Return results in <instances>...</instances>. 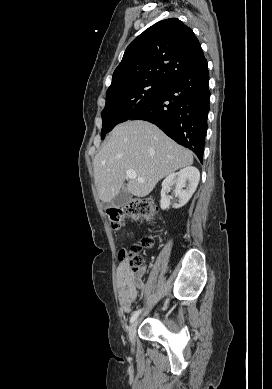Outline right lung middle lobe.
Instances as JSON below:
<instances>
[{
	"instance_id": "1",
	"label": "right lung middle lobe",
	"mask_w": 272,
	"mask_h": 389,
	"mask_svg": "<svg viewBox=\"0 0 272 389\" xmlns=\"http://www.w3.org/2000/svg\"><path fill=\"white\" fill-rule=\"evenodd\" d=\"M165 82L144 80L106 92V105L102 111L104 139L117 124L127 121L136 111L154 99L163 89Z\"/></svg>"
}]
</instances>
